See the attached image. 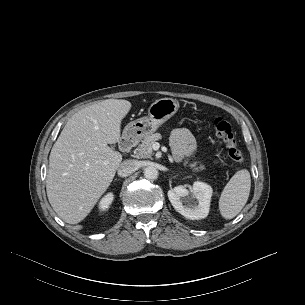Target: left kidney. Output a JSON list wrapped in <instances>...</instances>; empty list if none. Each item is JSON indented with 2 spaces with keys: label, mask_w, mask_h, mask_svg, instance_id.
<instances>
[{
  "label": "left kidney",
  "mask_w": 305,
  "mask_h": 305,
  "mask_svg": "<svg viewBox=\"0 0 305 305\" xmlns=\"http://www.w3.org/2000/svg\"><path fill=\"white\" fill-rule=\"evenodd\" d=\"M212 193L211 186L197 181L191 189L182 185L174 187L168 191V198L174 209L185 218L199 220L209 214Z\"/></svg>",
  "instance_id": "obj_1"
}]
</instances>
